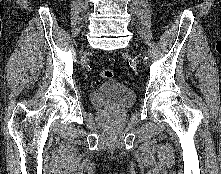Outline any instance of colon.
<instances>
[{"instance_id": "colon-1", "label": "colon", "mask_w": 221, "mask_h": 174, "mask_svg": "<svg viewBox=\"0 0 221 174\" xmlns=\"http://www.w3.org/2000/svg\"><path fill=\"white\" fill-rule=\"evenodd\" d=\"M100 76L103 79L110 80L113 78V72H112V70H110L108 68H104L100 71Z\"/></svg>"}]
</instances>
